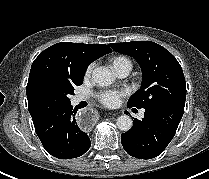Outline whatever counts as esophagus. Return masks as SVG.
<instances>
[{
	"mask_svg": "<svg viewBox=\"0 0 209 179\" xmlns=\"http://www.w3.org/2000/svg\"><path fill=\"white\" fill-rule=\"evenodd\" d=\"M97 117V111L93 107H84L76 113L75 119L81 128L87 129L94 124Z\"/></svg>",
	"mask_w": 209,
	"mask_h": 179,
	"instance_id": "esophagus-1",
	"label": "esophagus"
}]
</instances>
